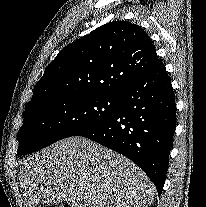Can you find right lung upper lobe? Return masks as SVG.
Segmentation results:
<instances>
[{"instance_id": "cb5924a9", "label": "right lung upper lobe", "mask_w": 206, "mask_h": 207, "mask_svg": "<svg viewBox=\"0 0 206 207\" xmlns=\"http://www.w3.org/2000/svg\"><path fill=\"white\" fill-rule=\"evenodd\" d=\"M159 61L140 26L113 21L63 48L35 85L25 109L54 98L120 94Z\"/></svg>"}]
</instances>
